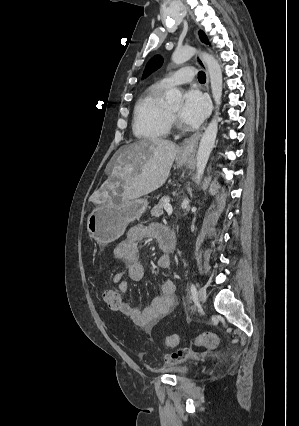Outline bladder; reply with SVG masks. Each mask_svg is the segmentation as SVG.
<instances>
[{
  "label": "bladder",
  "mask_w": 299,
  "mask_h": 426,
  "mask_svg": "<svg viewBox=\"0 0 299 426\" xmlns=\"http://www.w3.org/2000/svg\"><path fill=\"white\" fill-rule=\"evenodd\" d=\"M169 371L176 375H186L189 373V369L187 367L171 368Z\"/></svg>",
  "instance_id": "obj_1"
}]
</instances>
